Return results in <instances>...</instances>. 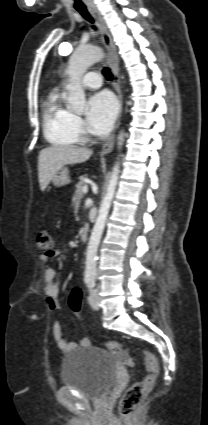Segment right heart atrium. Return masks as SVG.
Here are the masks:
<instances>
[{"label":"right heart atrium","mask_w":208,"mask_h":425,"mask_svg":"<svg viewBox=\"0 0 208 425\" xmlns=\"http://www.w3.org/2000/svg\"><path fill=\"white\" fill-rule=\"evenodd\" d=\"M73 126L78 135L83 133V123L79 117L74 116Z\"/></svg>","instance_id":"right-heart-atrium-1"}]
</instances>
